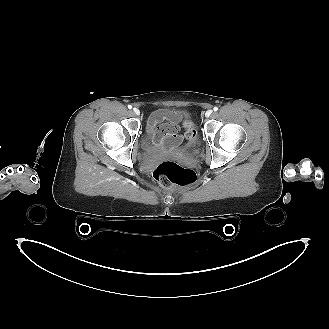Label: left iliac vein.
I'll return each instance as SVG.
<instances>
[{"label":"left iliac vein","mask_w":329,"mask_h":329,"mask_svg":"<svg viewBox=\"0 0 329 329\" xmlns=\"http://www.w3.org/2000/svg\"><path fill=\"white\" fill-rule=\"evenodd\" d=\"M212 110L211 109H209V110H207L206 112H205V117H209L211 114H212Z\"/></svg>","instance_id":"left-iliac-vein-1"}]
</instances>
